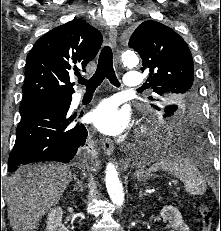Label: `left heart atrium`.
Masks as SVG:
<instances>
[{
  "label": "left heart atrium",
  "mask_w": 221,
  "mask_h": 231,
  "mask_svg": "<svg viewBox=\"0 0 221 231\" xmlns=\"http://www.w3.org/2000/svg\"><path fill=\"white\" fill-rule=\"evenodd\" d=\"M92 123L103 133L118 135L129 125L130 114L120 109L113 100L101 102L91 113Z\"/></svg>",
  "instance_id": "obj_1"
}]
</instances>
